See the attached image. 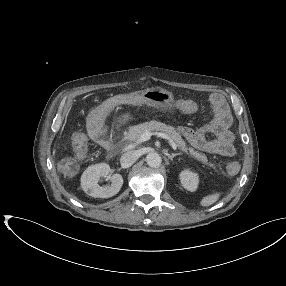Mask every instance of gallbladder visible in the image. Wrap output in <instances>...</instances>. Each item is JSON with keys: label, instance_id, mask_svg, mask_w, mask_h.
<instances>
[{"label": "gallbladder", "instance_id": "bac80fb5", "mask_svg": "<svg viewBox=\"0 0 286 286\" xmlns=\"http://www.w3.org/2000/svg\"><path fill=\"white\" fill-rule=\"evenodd\" d=\"M91 116H92V113H91L90 117L88 118L89 121H90V119H91Z\"/></svg>", "mask_w": 286, "mask_h": 286}]
</instances>
